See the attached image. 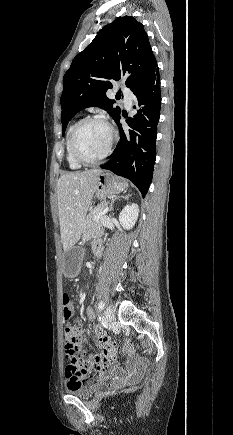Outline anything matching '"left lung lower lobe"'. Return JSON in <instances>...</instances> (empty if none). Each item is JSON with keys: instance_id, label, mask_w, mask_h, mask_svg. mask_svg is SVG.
Returning <instances> with one entry per match:
<instances>
[{"instance_id": "left-lung-lower-lobe-1", "label": "left lung lower lobe", "mask_w": 233, "mask_h": 435, "mask_svg": "<svg viewBox=\"0 0 233 435\" xmlns=\"http://www.w3.org/2000/svg\"><path fill=\"white\" fill-rule=\"evenodd\" d=\"M133 93L136 96L133 108L137 113L128 118V129H123L119 122L121 114L115 119L120 141L112 153V158L101 168L131 180L144 197L152 181L156 160L155 143L161 105L157 64L137 85Z\"/></svg>"}]
</instances>
